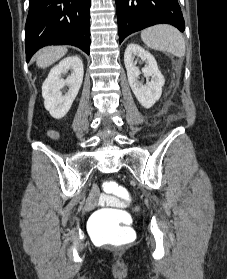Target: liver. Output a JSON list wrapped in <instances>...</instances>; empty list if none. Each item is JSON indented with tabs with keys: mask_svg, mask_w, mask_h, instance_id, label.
<instances>
[{
	"mask_svg": "<svg viewBox=\"0 0 227 279\" xmlns=\"http://www.w3.org/2000/svg\"><path fill=\"white\" fill-rule=\"evenodd\" d=\"M67 53V48L64 46H51L38 51L36 54V64L39 68H46Z\"/></svg>",
	"mask_w": 227,
	"mask_h": 279,
	"instance_id": "6515ba94",
	"label": "liver"
}]
</instances>
